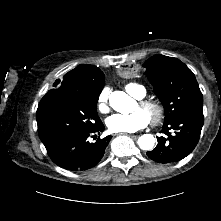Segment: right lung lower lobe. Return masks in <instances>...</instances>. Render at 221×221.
I'll return each mask as SVG.
<instances>
[{"label":"right lung lower lobe","instance_id":"right-lung-lower-lobe-1","mask_svg":"<svg viewBox=\"0 0 221 221\" xmlns=\"http://www.w3.org/2000/svg\"><path fill=\"white\" fill-rule=\"evenodd\" d=\"M103 131L104 125L100 122L92 130L49 151L48 155L55 164L67 170L83 171L94 167L103 157L111 136L99 137L95 142H90L89 137ZM94 137L96 138V136Z\"/></svg>","mask_w":221,"mask_h":221}]
</instances>
